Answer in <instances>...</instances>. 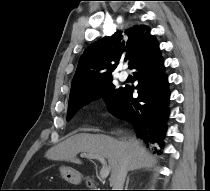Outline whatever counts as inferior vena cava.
I'll return each instance as SVG.
<instances>
[{"label":"inferior vena cava","instance_id":"inferior-vena-cava-1","mask_svg":"<svg viewBox=\"0 0 210 191\" xmlns=\"http://www.w3.org/2000/svg\"><path fill=\"white\" fill-rule=\"evenodd\" d=\"M127 172H128V167L127 164L124 162L120 165L118 171L114 175L113 180L111 182L113 190H123Z\"/></svg>","mask_w":210,"mask_h":191}]
</instances>
